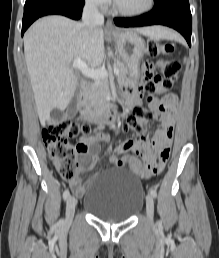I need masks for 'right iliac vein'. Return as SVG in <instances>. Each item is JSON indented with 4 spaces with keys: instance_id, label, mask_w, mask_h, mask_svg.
Masks as SVG:
<instances>
[{
    "instance_id": "obj_1",
    "label": "right iliac vein",
    "mask_w": 219,
    "mask_h": 258,
    "mask_svg": "<svg viewBox=\"0 0 219 258\" xmlns=\"http://www.w3.org/2000/svg\"><path fill=\"white\" fill-rule=\"evenodd\" d=\"M76 204H77V200L74 196H70L67 198V202H66V221L67 222L72 221Z\"/></svg>"
}]
</instances>
